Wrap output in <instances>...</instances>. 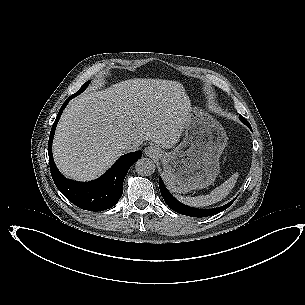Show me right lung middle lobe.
<instances>
[{"instance_id":"1","label":"right lung middle lobe","mask_w":305,"mask_h":305,"mask_svg":"<svg viewBox=\"0 0 305 305\" xmlns=\"http://www.w3.org/2000/svg\"><path fill=\"white\" fill-rule=\"evenodd\" d=\"M88 84H89V81L86 82V83L80 88V90H78V91H77L75 94H73L72 96L76 97L77 95H79L81 92H83V91L86 89V87L88 86Z\"/></svg>"}]
</instances>
